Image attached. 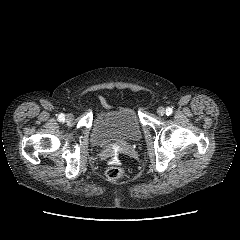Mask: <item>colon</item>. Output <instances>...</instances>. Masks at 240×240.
<instances>
[{"mask_svg":"<svg viewBox=\"0 0 240 240\" xmlns=\"http://www.w3.org/2000/svg\"><path fill=\"white\" fill-rule=\"evenodd\" d=\"M105 175L108 179L117 181L126 177V171L117 164H110L105 170Z\"/></svg>","mask_w":240,"mask_h":240,"instance_id":"colon-1","label":"colon"}]
</instances>
